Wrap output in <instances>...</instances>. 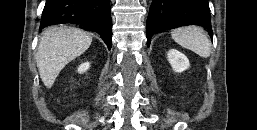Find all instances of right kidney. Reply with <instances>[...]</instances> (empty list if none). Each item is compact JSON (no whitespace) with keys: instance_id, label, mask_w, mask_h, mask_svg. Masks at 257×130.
Masks as SVG:
<instances>
[{"instance_id":"1","label":"right kidney","mask_w":257,"mask_h":130,"mask_svg":"<svg viewBox=\"0 0 257 130\" xmlns=\"http://www.w3.org/2000/svg\"><path fill=\"white\" fill-rule=\"evenodd\" d=\"M90 68V63L89 62H85L83 64H81L78 67V72L79 73H84L85 71H87Z\"/></svg>"}]
</instances>
